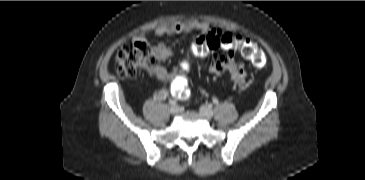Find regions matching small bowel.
Returning a JSON list of instances; mask_svg holds the SVG:
<instances>
[{
  "mask_svg": "<svg viewBox=\"0 0 365 180\" xmlns=\"http://www.w3.org/2000/svg\"><path fill=\"white\" fill-rule=\"evenodd\" d=\"M194 30L199 31L202 34V36L195 40L197 44L203 42V40L209 35H212L215 38H220L224 34H227V32L221 29L211 28L207 23L204 22L186 21L175 23L170 26H160L155 30V35L157 37H167L181 33H188ZM138 40L146 42L145 37H139ZM217 49L209 47L207 50V54H209L210 57L209 72L216 76L224 73L227 75L231 83L238 87H242L245 84L247 76L243 62L237 60L234 57V52L226 50L227 54L222 56L217 53ZM151 53L158 61H166L173 56V50L163 41L152 46ZM186 66V62H182L178 66H173L171 68L154 66L148 70V73L162 81L173 84L175 81L181 78ZM167 95L168 91L166 89L156 92V98L158 100L165 99Z\"/></svg>",
  "mask_w": 365,
  "mask_h": 180,
  "instance_id": "obj_1",
  "label": "small bowel"
}]
</instances>
